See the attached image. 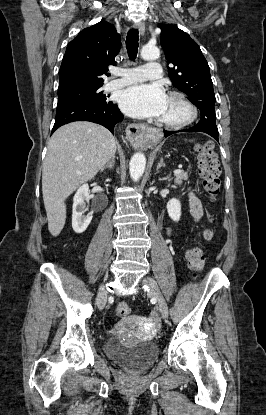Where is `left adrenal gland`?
<instances>
[{
  "label": "left adrenal gland",
  "instance_id": "a2214340",
  "mask_svg": "<svg viewBox=\"0 0 266 415\" xmlns=\"http://www.w3.org/2000/svg\"><path fill=\"white\" fill-rule=\"evenodd\" d=\"M164 166H165V164L163 162V158L161 157L160 162L157 165L156 171H158L161 167H164Z\"/></svg>",
  "mask_w": 266,
  "mask_h": 415
}]
</instances>
